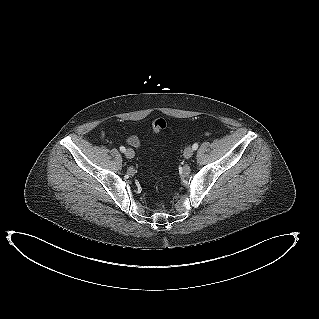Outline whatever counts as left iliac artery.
I'll list each match as a JSON object with an SVG mask.
<instances>
[{"mask_svg":"<svg viewBox=\"0 0 319 319\" xmlns=\"http://www.w3.org/2000/svg\"><path fill=\"white\" fill-rule=\"evenodd\" d=\"M193 150H197L198 148V143H194L193 146H192Z\"/></svg>","mask_w":319,"mask_h":319,"instance_id":"left-iliac-artery-1","label":"left iliac artery"}]
</instances>
